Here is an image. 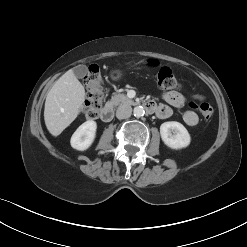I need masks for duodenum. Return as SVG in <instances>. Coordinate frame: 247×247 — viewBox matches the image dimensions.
<instances>
[{
  "label": "duodenum",
  "mask_w": 247,
  "mask_h": 247,
  "mask_svg": "<svg viewBox=\"0 0 247 247\" xmlns=\"http://www.w3.org/2000/svg\"><path fill=\"white\" fill-rule=\"evenodd\" d=\"M144 107L150 113L157 112V107L153 102H146L144 104ZM113 115H114L113 106L111 104H107L101 112V119L104 122H109L113 118Z\"/></svg>",
  "instance_id": "410a0bca"
}]
</instances>
